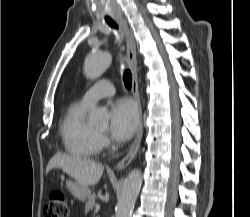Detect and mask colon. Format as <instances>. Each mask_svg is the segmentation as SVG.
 <instances>
[{
    "instance_id": "1",
    "label": "colon",
    "mask_w": 250,
    "mask_h": 217,
    "mask_svg": "<svg viewBox=\"0 0 250 217\" xmlns=\"http://www.w3.org/2000/svg\"><path fill=\"white\" fill-rule=\"evenodd\" d=\"M44 217H69V207L61 191H52L44 207Z\"/></svg>"
}]
</instances>
